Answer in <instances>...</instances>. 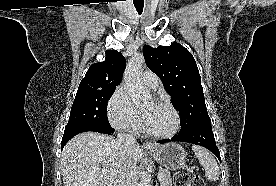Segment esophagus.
<instances>
[{
	"instance_id": "esophagus-1",
	"label": "esophagus",
	"mask_w": 276,
	"mask_h": 186,
	"mask_svg": "<svg viewBox=\"0 0 276 186\" xmlns=\"http://www.w3.org/2000/svg\"><path fill=\"white\" fill-rule=\"evenodd\" d=\"M143 147H144L145 149H152V148H154V145H153V143L150 142V141H144Z\"/></svg>"
}]
</instances>
